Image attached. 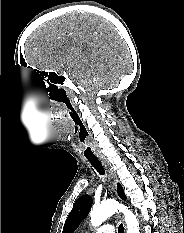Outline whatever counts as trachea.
Instances as JSON below:
<instances>
[{"label": "trachea", "mask_w": 184, "mask_h": 233, "mask_svg": "<svg viewBox=\"0 0 184 233\" xmlns=\"http://www.w3.org/2000/svg\"><path fill=\"white\" fill-rule=\"evenodd\" d=\"M89 133L84 125L80 126L79 132H78V139L82 147V152L86 159L91 163V165L96 169V171L100 175L105 174V170L103 166L101 165L100 161L98 160L97 156L95 155V152L93 148L88 143ZM118 233H124L123 225L120 224L118 227Z\"/></svg>", "instance_id": "obj_1"}]
</instances>
